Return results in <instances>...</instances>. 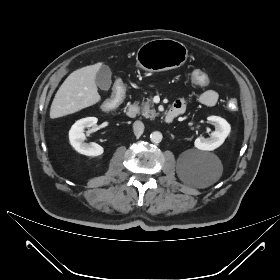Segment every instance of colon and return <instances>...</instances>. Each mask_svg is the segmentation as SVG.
<instances>
[{
  "label": "colon",
  "mask_w": 280,
  "mask_h": 280,
  "mask_svg": "<svg viewBox=\"0 0 280 280\" xmlns=\"http://www.w3.org/2000/svg\"><path fill=\"white\" fill-rule=\"evenodd\" d=\"M187 77L189 82L196 85V88L201 91L207 90L212 82L211 75L199 68L190 70ZM125 90L126 87L123 83H116L113 87L111 96L107 97L104 101L105 109H112L116 105L123 103L126 99ZM227 106L230 110L235 111L238 108V102L236 99H230Z\"/></svg>",
  "instance_id": "obj_1"
}]
</instances>
